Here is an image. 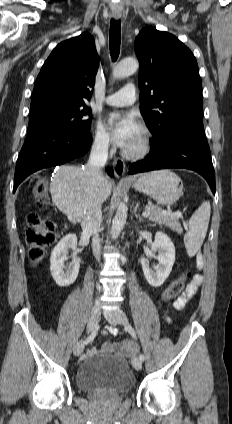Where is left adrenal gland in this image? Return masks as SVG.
Listing matches in <instances>:
<instances>
[{
    "mask_svg": "<svg viewBox=\"0 0 232 424\" xmlns=\"http://www.w3.org/2000/svg\"><path fill=\"white\" fill-rule=\"evenodd\" d=\"M138 207H139V203H137L136 206H135L134 214H135L136 219H138L140 222H143L144 221L143 217H141L140 214L137 213Z\"/></svg>",
    "mask_w": 232,
    "mask_h": 424,
    "instance_id": "obj_1",
    "label": "left adrenal gland"
}]
</instances>
